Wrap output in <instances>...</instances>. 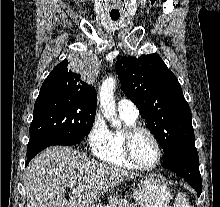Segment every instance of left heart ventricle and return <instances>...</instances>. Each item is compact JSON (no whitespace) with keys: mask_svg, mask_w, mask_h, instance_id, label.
Masks as SVG:
<instances>
[{"mask_svg":"<svg viewBox=\"0 0 220 207\" xmlns=\"http://www.w3.org/2000/svg\"><path fill=\"white\" fill-rule=\"evenodd\" d=\"M132 149L136 160L143 165L153 164L157 160V148L151 137L144 132L135 135Z\"/></svg>","mask_w":220,"mask_h":207,"instance_id":"1","label":"left heart ventricle"}]
</instances>
